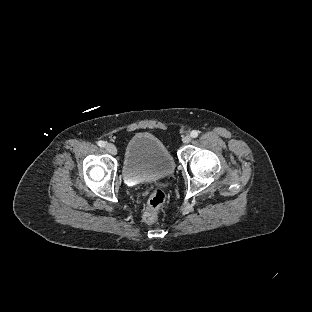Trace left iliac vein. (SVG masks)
Here are the masks:
<instances>
[{"mask_svg":"<svg viewBox=\"0 0 312 312\" xmlns=\"http://www.w3.org/2000/svg\"><path fill=\"white\" fill-rule=\"evenodd\" d=\"M191 136L190 135H186L183 137L182 141L184 144H188L191 141Z\"/></svg>","mask_w":312,"mask_h":312,"instance_id":"obj_1","label":"left iliac vein"}]
</instances>
